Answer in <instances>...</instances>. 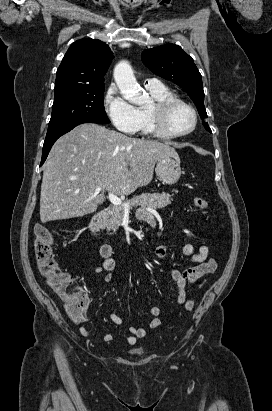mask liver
Segmentation results:
<instances>
[{
    "mask_svg": "<svg viewBox=\"0 0 272 411\" xmlns=\"http://www.w3.org/2000/svg\"><path fill=\"white\" fill-rule=\"evenodd\" d=\"M179 160L175 149L157 141L128 137L85 123L60 137L45 163L40 219H70L93 213L105 192L129 195L153 178L162 158ZM101 187V191H96Z\"/></svg>",
    "mask_w": 272,
    "mask_h": 411,
    "instance_id": "obj_1",
    "label": "liver"
}]
</instances>
